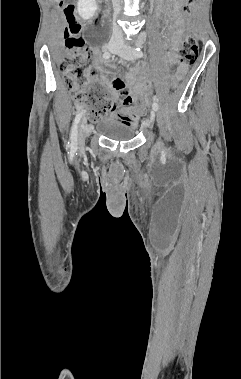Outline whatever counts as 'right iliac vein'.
I'll return each instance as SVG.
<instances>
[{
  "label": "right iliac vein",
  "instance_id": "1",
  "mask_svg": "<svg viewBox=\"0 0 241 379\" xmlns=\"http://www.w3.org/2000/svg\"><path fill=\"white\" fill-rule=\"evenodd\" d=\"M108 49L115 53L118 51L119 49V44L118 43H115V42H112V43H109L108 45ZM90 132V127L87 126V125H84V124H81L80 125V128H79V133H78V143L81 145L85 142V139L86 137L88 136Z\"/></svg>",
  "mask_w": 241,
  "mask_h": 379
}]
</instances>
